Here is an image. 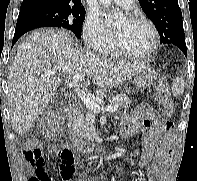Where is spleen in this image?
I'll list each match as a JSON object with an SVG mask.
<instances>
[{
  "mask_svg": "<svg viewBox=\"0 0 197 181\" xmlns=\"http://www.w3.org/2000/svg\"><path fill=\"white\" fill-rule=\"evenodd\" d=\"M184 86L183 77H176L171 87L173 96L177 97L179 95H182L184 92Z\"/></svg>",
  "mask_w": 197,
  "mask_h": 181,
  "instance_id": "3e777b00",
  "label": "spleen"
}]
</instances>
